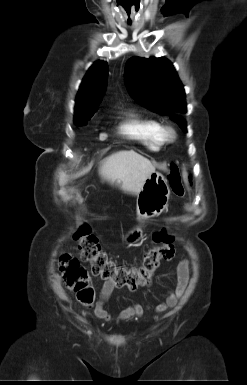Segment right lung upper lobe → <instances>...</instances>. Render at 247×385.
<instances>
[{"label": "right lung upper lobe", "instance_id": "right-lung-upper-lobe-1", "mask_svg": "<svg viewBox=\"0 0 247 385\" xmlns=\"http://www.w3.org/2000/svg\"><path fill=\"white\" fill-rule=\"evenodd\" d=\"M107 70L104 61H97L90 67L76 98L75 114L95 112L98 109L105 91Z\"/></svg>", "mask_w": 247, "mask_h": 385}]
</instances>
